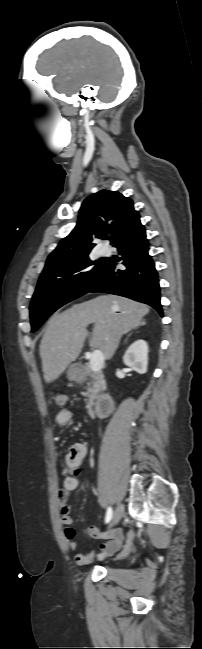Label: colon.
Masks as SVG:
<instances>
[{
  "label": "colon",
  "instance_id": "obj_1",
  "mask_svg": "<svg viewBox=\"0 0 202 649\" xmlns=\"http://www.w3.org/2000/svg\"><path fill=\"white\" fill-rule=\"evenodd\" d=\"M53 400L57 406H64L66 404V395L63 392H55Z\"/></svg>",
  "mask_w": 202,
  "mask_h": 649
}]
</instances>
